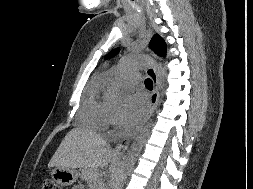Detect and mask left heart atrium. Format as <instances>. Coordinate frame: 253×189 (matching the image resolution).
Listing matches in <instances>:
<instances>
[{"mask_svg":"<svg viewBox=\"0 0 253 189\" xmlns=\"http://www.w3.org/2000/svg\"><path fill=\"white\" fill-rule=\"evenodd\" d=\"M146 107V101L142 96L138 94L129 96L126 108L121 116L122 125L126 128L134 126L144 115Z\"/></svg>","mask_w":253,"mask_h":189,"instance_id":"left-heart-atrium-1","label":"left heart atrium"}]
</instances>
